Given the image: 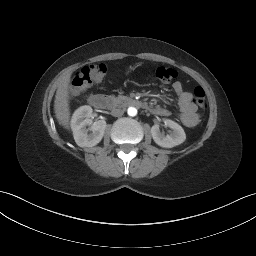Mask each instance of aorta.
I'll use <instances>...</instances> for the list:
<instances>
[{
	"mask_svg": "<svg viewBox=\"0 0 256 256\" xmlns=\"http://www.w3.org/2000/svg\"><path fill=\"white\" fill-rule=\"evenodd\" d=\"M127 113L129 116H136L137 115V109L135 107H129L127 110Z\"/></svg>",
	"mask_w": 256,
	"mask_h": 256,
	"instance_id": "1",
	"label": "aorta"
}]
</instances>
